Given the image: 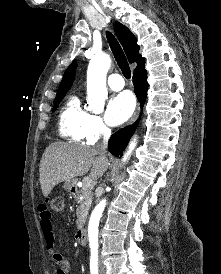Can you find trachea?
Returning a JSON list of instances; mask_svg holds the SVG:
<instances>
[{
  "mask_svg": "<svg viewBox=\"0 0 221 274\" xmlns=\"http://www.w3.org/2000/svg\"><path fill=\"white\" fill-rule=\"evenodd\" d=\"M106 37L110 45V48L112 50V53L124 77L126 79H130L131 70L120 44L118 43L117 39L114 37V35L111 32H107Z\"/></svg>",
  "mask_w": 221,
  "mask_h": 274,
  "instance_id": "1",
  "label": "trachea"
}]
</instances>
